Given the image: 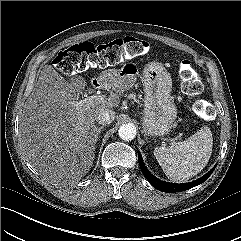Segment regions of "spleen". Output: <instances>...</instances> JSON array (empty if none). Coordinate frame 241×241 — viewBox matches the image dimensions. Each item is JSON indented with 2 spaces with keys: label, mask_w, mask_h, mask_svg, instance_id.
Instances as JSON below:
<instances>
[{
  "label": "spleen",
  "mask_w": 241,
  "mask_h": 241,
  "mask_svg": "<svg viewBox=\"0 0 241 241\" xmlns=\"http://www.w3.org/2000/svg\"><path fill=\"white\" fill-rule=\"evenodd\" d=\"M212 147V133L204 127L184 141L156 147L154 155L171 181L183 182L203 170L211 157Z\"/></svg>",
  "instance_id": "1"
}]
</instances>
